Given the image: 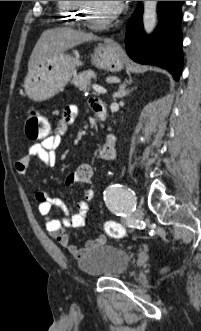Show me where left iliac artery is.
<instances>
[{
  "instance_id": "obj_1",
  "label": "left iliac artery",
  "mask_w": 201,
  "mask_h": 331,
  "mask_svg": "<svg viewBox=\"0 0 201 331\" xmlns=\"http://www.w3.org/2000/svg\"><path fill=\"white\" fill-rule=\"evenodd\" d=\"M104 201L108 209L127 220L136 207V196L132 189L121 184L109 186L104 191Z\"/></svg>"
}]
</instances>
